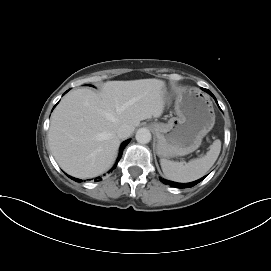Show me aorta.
Returning a JSON list of instances; mask_svg holds the SVG:
<instances>
[{"label":"aorta","instance_id":"762f6f07","mask_svg":"<svg viewBox=\"0 0 271 271\" xmlns=\"http://www.w3.org/2000/svg\"><path fill=\"white\" fill-rule=\"evenodd\" d=\"M135 138L140 144H147L151 141V133L147 128H140L137 130Z\"/></svg>","mask_w":271,"mask_h":271}]
</instances>
